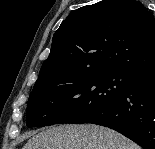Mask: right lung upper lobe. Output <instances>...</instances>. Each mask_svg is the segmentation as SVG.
I'll use <instances>...</instances> for the list:
<instances>
[{
    "label": "right lung upper lobe",
    "instance_id": "1",
    "mask_svg": "<svg viewBox=\"0 0 155 149\" xmlns=\"http://www.w3.org/2000/svg\"><path fill=\"white\" fill-rule=\"evenodd\" d=\"M154 70L155 18L140 1L103 0L61 23L36 83L66 73Z\"/></svg>",
    "mask_w": 155,
    "mask_h": 149
}]
</instances>
